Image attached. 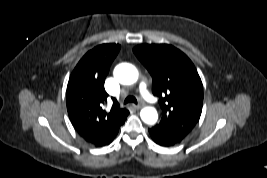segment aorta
I'll return each instance as SVG.
<instances>
[{
    "label": "aorta",
    "mask_w": 267,
    "mask_h": 178,
    "mask_svg": "<svg viewBox=\"0 0 267 178\" xmlns=\"http://www.w3.org/2000/svg\"><path fill=\"white\" fill-rule=\"evenodd\" d=\"M114 77L124 85H131L138 80L139 73L137 68L129 63H121L114 69ZM140 116L143 122L153 125L157 122L158 113L154 107H144Z\"/></svg>",
    "instance_id": "1"
}]
</instances>
